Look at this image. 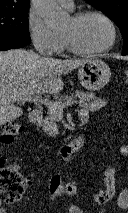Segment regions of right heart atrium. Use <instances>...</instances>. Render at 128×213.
Here are the masks:
<instances>
[{
	"mask_svg": "<svg viewBox=\"0 0 128 213\" xmlns=\"http://www.w3.org/2000/svg\"><path fill=\"white\" fill-rule=\"evenodd\" d=\"M28 29L35 47L49 53L60 51V34L49 28L39 13L33 9L28 13Z\"/></svg>",
	"mask_w": 128,
	"mask_h": 213,
	"instance_id": "right-heart-atrium-1",
	"label": "right heart atrium"
}]
</instances>
